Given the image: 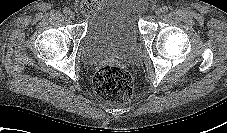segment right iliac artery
<instances>
[{"mask_svg":"<svg viewBox=\"0 0 227 133\" xmlns=\"http://www.w3.org/2000/svg\"><path fill=\"white\" fill-rule=\"evenodd\" d=\"M63 13L65 14V15H69V13H70V9L69 8H64V10H63Z\"/></svg>","mask_w":227,"mask_h":133,"instance_id":"obj_1","label":"right iliac artery"}]
</instances>
